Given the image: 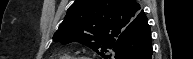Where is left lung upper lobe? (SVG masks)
Wrapping results in <instances>:
<instances>
[{"instance_id": "1", "label": "left lung upper lobe", "mask_w": 193, "mask_h": 59, "mask_svg": "<svg viewBox=\"0 0 193 59\" xmlns=\"http://www.w3.org/2000/svg\"><path fill=\"white\" fill-rule=\"evenodd\" d=\"M142 15L144 12L135 0H76L53 40L63 44L80 42L107 58L108 49Z\"/></svg>"}]
</instances>
